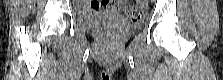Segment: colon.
Masks as SVG:
<instances>
[{
	"label": "colon",
	"instance_id": "5ec220e1",
	"mask_svg": "<svg viewBox=\"0 0 223 80\" xmlns=\"http://www.w3.org/2000/svg\"><path fill=\"white\" fill-rule=\"evenodd\" d=\"M124 4V2H123ZM126 16L132 21H138L141 19V10L137 6H124L123 7Z\"/></svg>",
	"mask_w": 223,
	"mask_h": 80
}]
</instances>
